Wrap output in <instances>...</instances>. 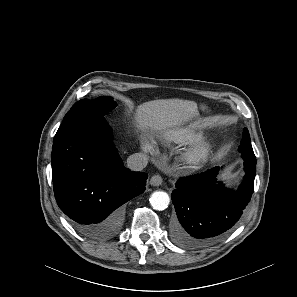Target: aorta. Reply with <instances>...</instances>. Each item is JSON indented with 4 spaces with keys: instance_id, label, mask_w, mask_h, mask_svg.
Here are the masks:
<instances>
[{
    "instance_id": "aorta-1",
    "label": "aorta",
    "mask_w": 297,
    "mask_h": 297,
    "mask_svg": "<svg viewBox=\"0 0 297 297\" xmlns=\"http://www.w3.org/2000/svg\"><path fill=\"white\" fill-rule=\"evenodd\" d=\"M149 201L153 209L162 211L168 207L170 199L166 192L156 191L151 194Z\"/></svg>"
}]
</instances>
